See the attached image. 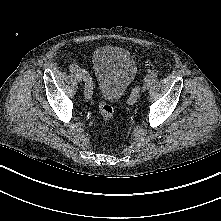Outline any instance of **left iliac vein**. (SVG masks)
<instances>
[{
    "mask_svg": "<svg viewBox=\"0 0 221 221\" xmlns=\"http://www.w3.org/2000/svg\"><path fill=\"white\" fill-rule=\"evenodd\" d=\"M149 86H150V83L148 80H146L143 85H142V89L145 91V90H148L149 89Z\"/></svg>",
    "mask_w": 221,
    "mask_h": 221,
    "instance_id": "1",
    "label": "left iliac vein"
}]
</instances>
